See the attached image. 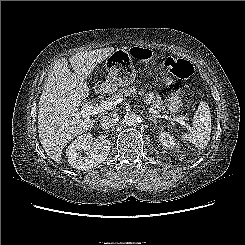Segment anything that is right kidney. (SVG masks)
Masks as SVG:
<instances>
[{
  "instance_id": "right-kidney-1",
  "label": "right kidney",
  "mask_w": 245,
  "mask_h": 245,
  "mask_svg": "<svg viewBox=\"0 0 245 245\" xmlns=\"http://www.w3.org/2000/svg\"><path fill=\"white\" fill-rule=\"evenodd\" d=\"M92 147L90 149V145ZM109 140L93 142L92 134H83L77 137L66 149V156L70 166L78 170L92 169L103 162L111 148ZM90 149V150H89ZM83 151H88L83 154Z\"/></svg>"
}]
</instances>
